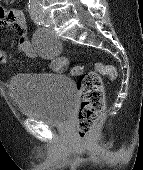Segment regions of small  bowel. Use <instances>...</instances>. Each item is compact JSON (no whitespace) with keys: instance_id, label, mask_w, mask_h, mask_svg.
<instances>
[{"instance_id":"small-bowel-1","label":"small bowel","mask_w":143,"mask_h":170,"mask_svg":"<svg viewBox=\"0 0 143 170\" xmlns=\"http://www.w3.org/2000/svg\"><path fill=\"white\" fill-rule=\"evenodd\" d=\"M14 27L19 33L18 50L23 55L35 58L38 56V52L30 39L27 36V20L24 12L21 9H7L0 4V30ZM50 45L58 50L60 44L57 41H52ZM61 57H51V68L55 71H59V60ZM6 63V54L4 50L0 48V64Z\"/></svg>"}]
</instances>
